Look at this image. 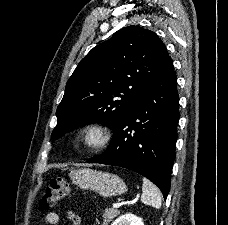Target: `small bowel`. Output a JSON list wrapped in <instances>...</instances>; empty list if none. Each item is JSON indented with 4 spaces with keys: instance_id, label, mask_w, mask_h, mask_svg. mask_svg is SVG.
Here are the masks:
<instances>
[{
    "instance_id": "1",
    "label": "small bowel",
    "mask_w": 228,
    "mask_h": 225,
    "mask_svg": "<svg viewBox=\"0 0 228 225\" xmlns=\"http://www.w3.org/2000/svg\"><path fill=\"white\" fill-rule=\"evenodd\" d=\"M68 219L70 220L72 225H81L80 217L73 211H68L67 213ZM45 222L47 225H59L60 217L56 212H49L45 216Z\"/></svg>"
}]
</instances>
